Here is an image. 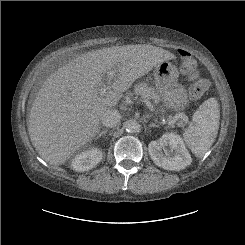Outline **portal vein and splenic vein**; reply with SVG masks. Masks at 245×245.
<instances>
[{
  "label": "portal vein and splenic vein",
  "mask_w": 245,
  "mask_h": 245,
  "mask_svg": "<svg viewBox=\"0 0 245 245\" xmlns=\"http://www.w3.org/2000/svg\"><path fill=\"white\" fill-rule=\"evenodd\" d=\"M113 77H114V73L113 72H109L108 75H107L106 82L100 88V94L101 95H104L107 92V90L109 89V85H110L111 80L113 79ZM145 103H146L147 107L150 110H153V106H152V104L148 100L145 99ZM178 117L181 118V119H183L184 122H187L188 121V117L186 115H184V114H180ZM176 121H177V118L173 119L171 121V124L170 125H173Z\"/></svg>",
  "instance_id": "1"
}]
</instances>
